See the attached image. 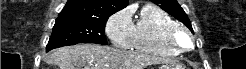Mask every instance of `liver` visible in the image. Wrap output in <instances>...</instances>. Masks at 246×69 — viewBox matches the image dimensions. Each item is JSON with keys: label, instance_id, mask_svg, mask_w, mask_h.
<instances>
[{"label": "liver", "instance_id": "6515ba94", "mask_svg": "<svg viewBox=\"0 0 246 69\" xmlns=\"http://www.w3.org/2000/svg\"><path fill=\"white\" fill-rule=\"evenodd\" d=\"M50 60L60 69H143L151 64L169 62L155 56L95 44L59 48L51 54Z\"/></svg>", "mask_w": 246, "mask_h": 69}]
</instances>
